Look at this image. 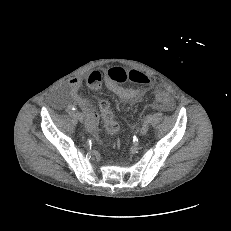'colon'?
Returning <instances> with one entry per match:
<instances>
[{"label": "colon", "mask_w": 231, "mask_h": 231, "mask_svg": "<svg viewBox=\"0 0 231 231\" xmlns=\"http://www.w3.org/2000/svg\"><path fill=\"white\" fill-rule=\"evenodd\" d=\"M108 78L112 84H121L126 80H130L136 83L145 84L148 82L147 77L137 70H126L123 67L115 66L109 69ZM99 85V80L96 82ZM156 100L160 103H168L169 96L165 92H158L156 94ZM103 125L106 132L111 136H116L120 131V126L114 118V114L110 108L109 103L106 100H102L99 104Z\"/></svg>", "instance_id": "1"}]
</instances>
